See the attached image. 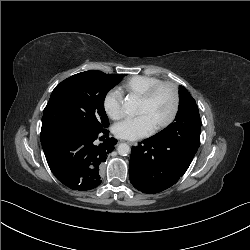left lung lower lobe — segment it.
<instances>
[{
	"label": "left lung lower lobe",
	"mask_w": 250,
	"mask_h": 250,
	"mask_svg": "<svg viewBox=\"0 0 250 250\" xmlns=\"http://www.w3.org/2000/svg\"><path fill=\"white\" fill-rule=\"evenodd\" d=\"M201 119L172 126L131 149L129 178L143 193H158L186 172L200 145Z\"/></svg>",
	"instance_id": "obj_1"
}]
</instances>
